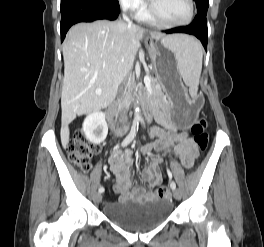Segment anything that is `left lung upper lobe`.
Listing matches in <instances>:
<instances>
[{
  "label": "left lung upper lobe",
  "mask_w": 264,
  "mask_h": 247,
  "mask_svg": "<svg viewBox=\"0 0 264 247\" xmlns=\"http://www.w3.org/2000/svg\"><path fill=\"white\" fill-rule=\"evenodd\" d=\"M197 7V14L207 15L209 0H195Z\"/></svg>",
  "instance_id": "5c2ea615"
}]
</instances>
